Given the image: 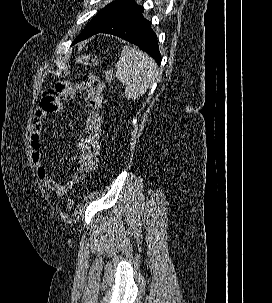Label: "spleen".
Returning <instances> with one entry per match:
<instances>
[{"instance_id":"spleen-1","label":"spleen","mask_w":272,"mask_h":303,"mask_svg":"<svg viewBox=\"0 0 272 303\" xmlns=\"http://www.w3.org/2000/svg\"><path fill=\"white\" fill-rule=\"evenodd\" d=\"M115 67V77L125 85V97L129 100L143 96L158 75L156 63L149 55L127 45Z\"/></svg>"}]
</instances>
